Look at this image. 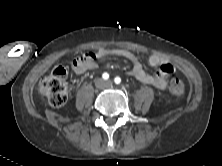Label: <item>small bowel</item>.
<instances>
[{
  "instance_id": "c3829d8e",
  "label": "small bowel",
  "mask_w": 222,
  "mask_h": 166,
  "mask_svg": "<svg viewBox=\"0 0 222 166\" xmlns=\"http://www.w3.org/2000/svg\"><path fill=\"white\" fill-rule=\"evenodd\" d=\"M108 56H120L126 58L132 63V68L128 72L130 76L159 90H165L167 88V79L175 70L172 63L159 55L154 54L149 57L148 61L151 66L158 67L159 69L154 74L147 73L136 55L129 50L121 48H100L95 52L86 53L74 59L71 62V66L75 73L83 74L89 70H95L98 67L96 59Z\"/></svg>"
}]
</instances>
